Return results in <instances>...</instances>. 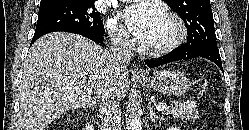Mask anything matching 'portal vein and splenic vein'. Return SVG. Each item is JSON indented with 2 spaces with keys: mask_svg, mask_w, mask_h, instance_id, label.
Wrapping results in <instances>:
<instances>
[{
  "mask_svg": "<svg viewBox=\"0 0 249 130\" xmlns=\"http://www.w3.org/2000/svg\"><path fill=\"white\" fill-rule=\"evenodd\" d=\"M77 90H78L79 92H82V93L85 92V91H88V93L90 92L89 89L84 88V87H77ZM156 108H157L158 110L166 109V108H167V104H166V103H158V104L156 105Z\"/></svg>",
  "mask_w": 249,
  "mask_h": 130,
  "instance_id": "portal-vein-and-splenic-vein-1",
  "label": "portal vein and splenic vein"
}]
</instances>
